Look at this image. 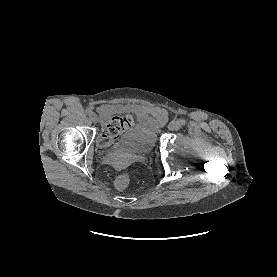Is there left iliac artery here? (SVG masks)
<instances>
[{
	"label": "left iliac artery",
	"mask_w": 277,
	"mask_h": 277,
	"mask_svg": "<svg viewBox=\"0 0 277 277\" xmlns=\"http://www.w3.org/2000/svg\"><path fill=\"white\" fill-rule=\"evenodd\" d=\"M178 122L180 126H184L186 123L184 119H179Z\"/></svg>",
	"instance_id": "left-iliac-artery-1"
}]
</instances>
